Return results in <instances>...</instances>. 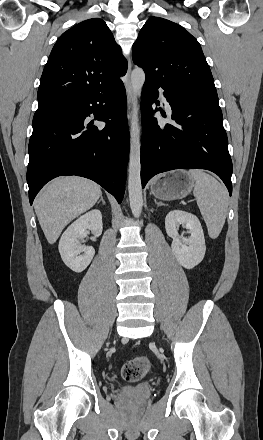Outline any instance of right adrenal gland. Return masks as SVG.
<instances>
[{
    "label": "right adrenal gland",
    "instance_id": "obj_1",
    "mask_svg": "<svg viewBox=\"0 0 263 440\" xmlns=\"http://www.w3.org/2000/svg\"><path fill=\"white\" fill-rule=\"evenodd\" d=\"M100 202H102L103 204H105V201H104V199H103L102 196L100 197V201H98V203H100Z\"/></svg>",
    "mask_w": 263,
    "mask_h": 440
}]
</instances>
